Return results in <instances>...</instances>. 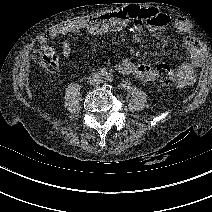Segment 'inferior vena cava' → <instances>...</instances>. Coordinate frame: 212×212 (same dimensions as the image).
<instances>
[{
  "label": "inferior vena cava",
  "mask_w": 212,
  "mask_h": 212,
  "mask_svg": "<svg viewBox=\"0 0 212 212\" xmlns=\"http://www.w3.org/2000/svg\"><path fill=\"white\" fill-rule=\"evenodd\" d=\"M102 82V78L101 76H99L96 73L91 74V76L89 77V84L93 85V86H97Z\"/></svg>",
  "instance_id": "602c4592"
}]
</instances>
